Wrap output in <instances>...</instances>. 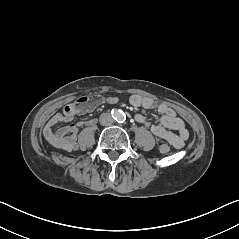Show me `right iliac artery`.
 I'll return each mask as SVG.
<instances>
[{
  "instance_id": "right-iliac-artery-1",
  "label": "right iliac artery",
  "mask_w": 239,
  "mask_h": 239,
  "mask_svg": "<svg viewBox=\"0 0 239 239\" xmlns=\"http://www.w3.org/2000/svg\"><path fill=\"white\" fill-rule=\"evenodd\" d=\"M112 113H113L114 115H117V114H118V111H117V110H112Z\"/></svg>"
}]
</instances>
